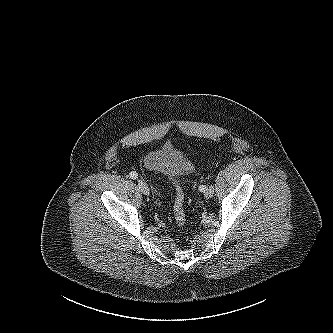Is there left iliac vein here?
Instances as JSON below:
<instances>
[{"mask_svg":"<svg viewBox=\"0 0 333 333\" xmlns=\"http://www.w3.org/2000/svg\"><path fill=\"white\" fill-rule=\"evenodd\" d=\"M214 189L213 188H207L204 192V195L207 199L211 198L213 196Z\"/></svg>","mask_w":333,"mask_h":333,"instance_id":"4c4485c4","label":"left iliac vein"}]
</instances>
